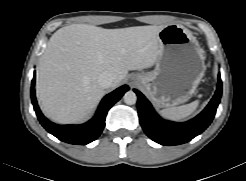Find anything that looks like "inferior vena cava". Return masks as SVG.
<instances>
[{
    "label": "inferior vena cava",
    "instance_id": "inferior-vena-cava-1",
    "mask_svg": "<svg viewBox=\"0 0 246 181\" xmlns=\"http://www.w3.org/2000/svg\"><path fill=\"white\" fill-rule=\"evenodd\" d=\"M113 81L114 76L111 72L108 71L102 72L97 80L98 84L104 89L110 88L113 85Z\"/></svg>",
    "mask_w": 246,
    "mask_h": 181
}]
</instances>
